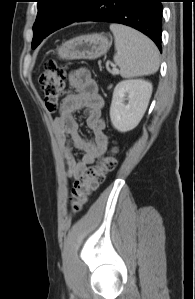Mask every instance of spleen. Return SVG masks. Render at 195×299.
Listing matches in <instances>:
<instances>
[{
    "label": "spleen",
    "instance_id": "obj_1",
    "mask_svg": "<svg viewBox=\"0 0 195 299\" xmlns=\"http://www.w3.org/2000/svg\"><path fill=\"white\" fill-rule=\"evenodd\" d=\"M116 53L114 61L124 78L155 73L159 68V51L145 35L122 24H111Z\"/></svg>",
    "mask_w": 195,
    "mask_h": 299
}]
</instances>
